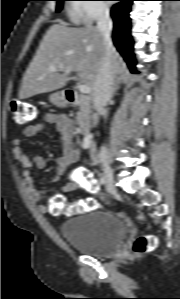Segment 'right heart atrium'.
Wrapping results in <instances>:
<instances>
[{
	"label": "right heart atrium",
	"mask_w": 180,
	"mask_h": 299,
	"mask_svg": "<svg viewBox=\"0 0 180 299\" xmlns=\"http://www.w3.org/2000/svg\"><path fill=\"white\" fill-rule=\"evenodd\" d=\"M76 2H87L75 4L72 16L81 21L92 22L109 14V7L104 0H79Z\"/></svg>",
	"instance_id": "d8ad5b80"
}]
</instances>
